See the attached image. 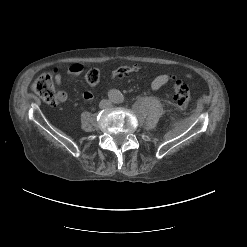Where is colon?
Segmentation results:
<instances>
[{"label": "colon", "mask_w": 247, "mask_h": 247, "mask_svg": "<svg viewBox=\"0 0 247 247\" xmlns=\"http://www.w3.org/2000/svg\"><path fill=\"white\" fill-rule=\"evenodd\" d=\"M85 79L88 85H97L100 80V71L96 68L88 70ZM32 89L47 104L55 105L59 102L52 77L49 74H42L36 78L33 82ZM172 96L180 110H185L188 107L191 94L189 87L183 81L174 80L172 84Z\"/></svg>", "instance_id": "colon-1"}]
</instances>
